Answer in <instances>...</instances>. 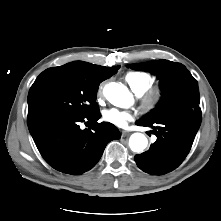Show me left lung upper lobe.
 <instances>
[{"instance_id":"1","label":"left lung upper lobe","mask_w":221,"mask_h":221,"mask_svg":"<svg viewBox=\"0 0 221 221\" xmlns=\"http://www.w3.org/2000/svg\"><path fill=\"white\" fill-rule=\"evenodd\" d=\"M129 67L157 75L163 93L158 105L140 120L152 122L177 114L201 113L198 83L184 65L162 59Z\"/></svg>"}]
</instances>
